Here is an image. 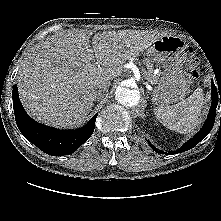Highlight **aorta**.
Masks as SVG:
<instances>
[{
	"mask_svg": "<svg viewBox=\"0 0 221 221\" xmlns=\"http://www.w3.org/2000/svg\"><path fill=\"white\" fill-rule=\"evenodd\" d=\"M115 99L125 107H134L140 100V93L137 89L119 86L115 92Z\"/></svg>",
	"mask_w": 221,
	"mask_h": 221,
	"instance_id": "aorta-1",
	"label": "aorta"
}]
</instances>
